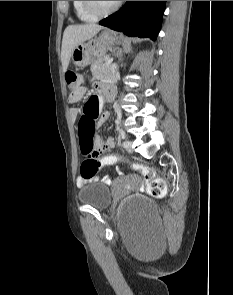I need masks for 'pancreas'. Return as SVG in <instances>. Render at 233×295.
<instances>
[{"label": "pancreas", "mask_w": 233, "mask_h": 295, "mask_svg": "<svg viewBox=\"0 0 233 295\" xmlns=\"http://www.w3.org/2000/svg\"><path fill=\"white\" fill-rule=\"evenodd\" d=\"M106 58H98L91 65V72L95 78H102L107 74H111V65H107Z\"/></svg>", "instance_id": "pancreas-1"}]
</instances>
